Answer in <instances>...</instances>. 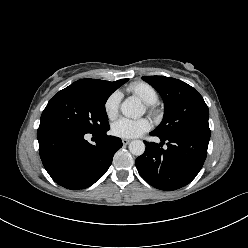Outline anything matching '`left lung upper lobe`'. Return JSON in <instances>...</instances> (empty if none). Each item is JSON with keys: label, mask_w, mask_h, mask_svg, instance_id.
<instances>
[{"label": "left lung upper lobe", "mask_w": 248, "mask_h": 248, "mask_svg": "<svg viewBox=\"0 0 248 248\" xmlns=\"http://www.w3.org/2000/svg\"><path fill=\"white\" fill-rule=\"evenodd\" d=\"M162 96L164 117L153 131L159 137H169L180 131L209 129V110L203 97L190 85L165 76H145Z\"/></svg>", "instance_id": "1"}]
</instances>
